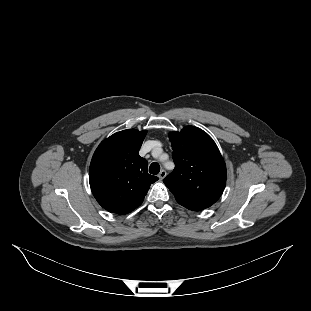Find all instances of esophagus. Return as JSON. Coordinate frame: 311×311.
<instances>
[{"mask_svg": "<svg viewBox=\"0 0 311 311\" xmlns=\"http://www.w3.org/2000/svg\"><path fill=\"white\" fill-rule=\"evenodd\" d=\"M167 175V172L165 170H161L160 173L158 174V177L162 180L165 178Z\"/></svg>", "mask_w": 311, "mask_h": 311, "instance_id": "1", "label": "esophagus"}]
</instances>
